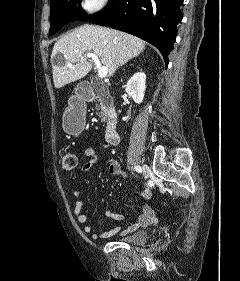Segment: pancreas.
<instances>
[{"mask_svg": "<svg viewBox=\"0 0 240 281\" xmlns=\"http://www.w3.org/2000/svg\"><path fill=\"white\" fill-rule=\"evenodd\" d=\"M100 104L97 105V109H101V119L102 121H106V117L109 114L110 104H111V98L108 93V90H105L103 93H101L100 97Z\"/></svg>", "mask_w": 240, "mask_h": 281, "instance_id": "1", "label": "pancreas"}]
</instances>
